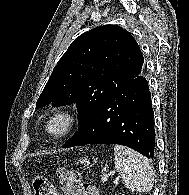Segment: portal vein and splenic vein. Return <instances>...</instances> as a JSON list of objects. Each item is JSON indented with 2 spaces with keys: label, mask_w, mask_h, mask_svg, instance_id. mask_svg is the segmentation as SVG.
I'll use <instances>...</instances> for the list:
<instances>
[{
  "label": "portal vein and splenic vein",
  "mask_w": 189,
  "mask_h": 195,
  "mask_svg": "<svg viewBox=\"0 0 189 195\" xmlns=\"http://www.w3.org/2000/svg\"><path fill=\"white\" fill-rule=\"evenodd\" d=\"M108 180L107 175H103L101 177V181L106 182Z\"/></svg>",
  "instance_id": "obj_1"
}]
</instances>
